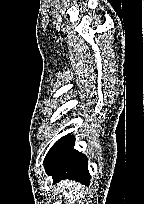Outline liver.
<instances>
[{
  "label": "liver",
  "mask_w": 144,
  "mask_h": 204,
  "mask_svg": "<svg viewBox=\"0 0 144 204\" xmlns=\"http://www.w3.org/2000/svg\"><path fill=\"white\" fill-rule=\"evenodd\" d=\"M84 186L75 181H62L57 184V193H62L64 199H69L70 204H74L76 197L82 195Z\"/></svg>",
  "instance_id": "obj_1"
}]
</instances>
